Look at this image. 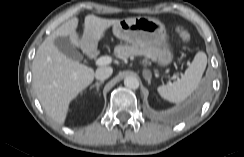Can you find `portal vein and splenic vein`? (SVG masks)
<instances>
[{
  "label": "portal vein and splenic vein",
  "mask_w": 244,
  "mask_h": 157,
  "mask_svg": "<svg viewBox=\"0 0 244 157\" xmlns=\"http://www.w3.org/2000/svg\"><path fill=\"white\" fill-rule=\"evenodd\" d=\"M112 62V59L108 56H102L100 58H98L96 61H95V64L97 66H104V65H108ZM189 65V64H188Z\"/></svg>",
  "instance_id": "1"
}]
</instances>
